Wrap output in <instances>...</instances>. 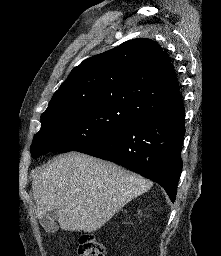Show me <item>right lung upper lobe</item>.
I'll use <instances>...</instances> for the list:
<instances>
[{"label":"right lung upper lobe","instance_id":"obj_1","mask_svg":"<svg viewBox=\"0 0 221 256\" xmlns=\"http://www.w3.org/2000/svg\"><path fill=\"white\" fill-rule=\"evenodd\" d=\"M115 104L142 117L182 104L174 67L155 41L138 38L75 67L43 114Z\"/></svg>","mask_w":221,"mask_h":256}]
</instances>
